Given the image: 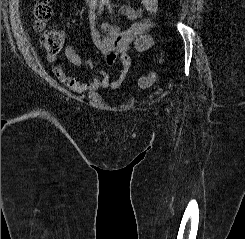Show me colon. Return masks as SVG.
Listing matches in <instances>:
<instances>
[{
  "label": "colon",
  "mask_w": 245,
  "mask_h": 239,
  "mask_svg": "<svg viewBox=\"0 0 245 239\" xmlns=\"http://www.w3.org/2000/svg\"><path fill=\"white\" fill-rule=\"evenodd\" d=\"M33 16H34V29L40 33V41L43 48L49 53L54 54L61 48L63 38L62 36L53 31H45V24L52 16V8L49 0H36L33 5ZM157 82L155 74H149L141 77L138 80V85L141 88L153 87Z\"/></svg>",
  "instance_id": "5ec220e1"
}]
</instances>
